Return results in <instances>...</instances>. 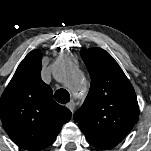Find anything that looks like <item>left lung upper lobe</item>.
<instances>
[{
    "label": "left lung upper lobe",
    "instance_id": "obj_1",
    "mask_svg": "<svg viewBox=\"0 0 151 151\" xmlns=\"http://www.w3.org/2000/svg\"><path fill=\"white\" fill-rule=\"evenodd\" d=\"M91 86L74 120L87 140L125 138L139 118L135 91L113 57L101 48L82 49Z\"/></svg>",
    "mask_w": 151,
    "mask_h": 151
}]
</instances>
